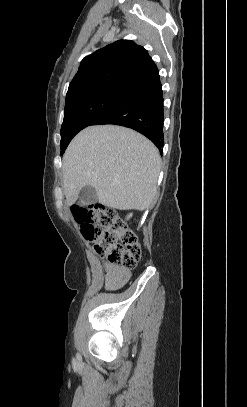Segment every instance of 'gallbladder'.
Returning <instances> with one entry per match:
<instances>
[{"mask_svg":"<svg viewBox=\"0 0 247 407\" xmlns=\"http://www.w3.org/2000/svg\"><path fill=\"white\" fill-rule=\"evenodd\" d=\"M79 197H80L79 205L81 207L94 203L98 199L96 190L91 185L83 187L80 191Z\"/></svg>","mask_w":247,"mask_h":407,"instance_id":"obj_1","label":"gallbladder"}]
</instances>
